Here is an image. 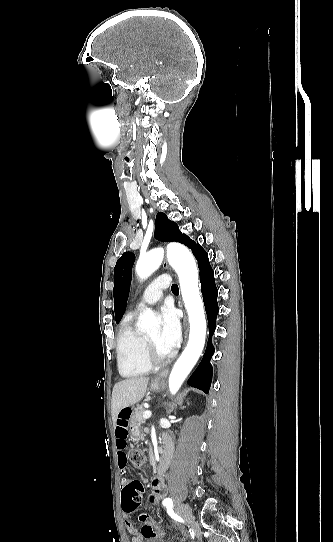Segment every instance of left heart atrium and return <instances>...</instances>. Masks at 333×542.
Listing matches in <instances>:
<instances>
[{
	"label": "left heart atrium",
	"mask_w": 333,
	"mask_h": 542,
	"mask_svg": "<svg viewBox=\"0 0 333 542\" xmlns=\"http://www.w3.org/2000/svg\"><path fill=\"white\" fill-rule=\"evenodd\" d=\"M181 338V324L179 317L172 306L162 308V329L160 332V344L166 348L169 354L176 351Z\"/></svg>",
	"instance_id": "obj_1"
}]
</instances>
